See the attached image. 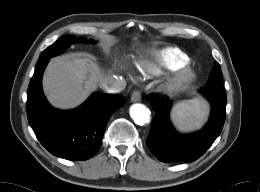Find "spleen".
<instances>
[{
    "mask_svg": "<svg viewBox=\"0 0 260 192\" xmlns=\"http://www.w3.org/2000/svg\"><path fill=\"white\" fill-rule=\"evenodd\" d=\"M208 115L207 103L196 98L176 104L171 112V119L180 131L200 128Z\"/></svg>",
    "mask_w": 260,
    "mask_h": 192,
    "instance_id": "1",
    "label": "spleen"
}]
</instances>
